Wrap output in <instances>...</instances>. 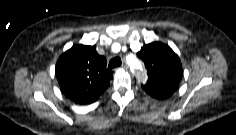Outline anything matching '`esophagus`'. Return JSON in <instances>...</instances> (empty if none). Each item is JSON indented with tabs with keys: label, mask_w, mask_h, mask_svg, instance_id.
Segmentation results:
<instances>
[{
	"label": "esophagus",
	"mask_w": 236,
	"mask_h": 135,
	"mask_svg": "<svg viewBox=\"0 0 236 135\" xmlns=\"http://www.w3.org/2000/svg\"><path fill=\"white\" fill-rule=\"evenodd\" d=\"M121 68L124 69V70H128V66H127L126 64H123V65L121 66Z\"/></svg>",
	"instance_id": "34e87169"
}]
</instances>
